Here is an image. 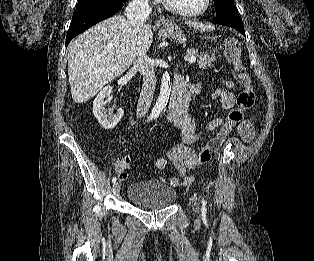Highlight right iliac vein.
<instances>
[{
    "instance_id": "1",
    "label": "right iliac vein",
    "mask_w": 314,
    "mask_h": 261,
    "mask_svg": "<svg viewBox=\"0 0 314 261\" xmlns=\"http://www.w3.org/2000/svg\"><path fill=\"white\" fill-rule=\"evenodd\" d=\"M112 192L115 196H119L120 193V184L118 182H115L112 186Z\"/></svg>"
}]
</instances>
